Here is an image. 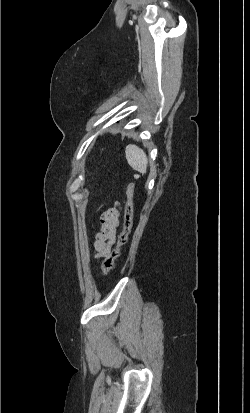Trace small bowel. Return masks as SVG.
I'll return each mask as SVG.
<instances>
[{
    "label": "small bowel",
    "instance_id": "c3829d8e",
    "mask_svg": "<svg viewBox=\"0 0 250 413\" xmlns=\"http://www.w3.org/2000/svg\"><path fill=\"white\" fill-rule=\"evenodd\" d=\"M120 212L117 208H111L104 212L100 217V230L95 234L94 258L106 257L113 249L119 228Z\"/></svg>",
    "mask_w": 250,
    "mask_h": 413
}]
</instances>
